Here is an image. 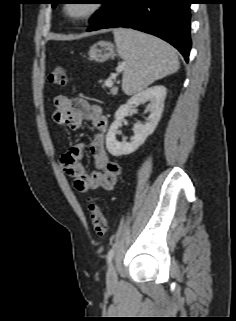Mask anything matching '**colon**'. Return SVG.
Instances as JSON below:
<instances>
[{
	"mask_svg": "<svg viewBox=\"0 0 236 321\" xmlns=\"http://www.w3.org/2000/svg\"><path fill=\"white\" fill-rule=\"evenodd\" d=\"M50 84L64 87L68 83L66 70L61 67H55L48 76ZM91 221L94 231L98 235H104L107 231V220L100 204L93 198L88 199Z\"/></svg>",
	"mask_w": 236,
	"mask_h": 321,
	"instance_id": "1",
	"label": "colon"
}]
</instances>
